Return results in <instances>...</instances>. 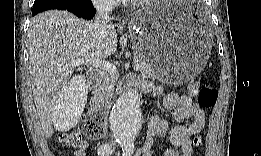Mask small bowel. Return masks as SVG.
<instances>
[{
	"label": "small bowel",
	"instance_id": "c3829d8e",
	"mask_svg": "<svg viewBox=\"0 0 261 156\" xmlns=\"http://www.w3.org/2000/svg\"><path fill=\"white\" fill-rule=\"evenodd\" d=\"M131 82H135L134 80ZM163 91L161 86L153 88L154 97L160 95ZM164 110L173 111L172 117L176 122H183L188 119L191 122L188 125H176L170 131L168 123L159 115H152L149 119L147 136L142 145L136 151V156H152L154 153V138L165 137L169 133V139L172 147L160 146V152L163 156H191L192 137L200 133L205 127V112L194 103L187 95H179L175 92L168 93L162 102ZM89 148L88 140H84L80 148L74 152L75 156H85Z\"/></svg>",
	"mask_w": 261,
	"mask_h": 156
}]
</instances>
